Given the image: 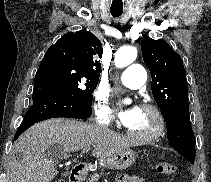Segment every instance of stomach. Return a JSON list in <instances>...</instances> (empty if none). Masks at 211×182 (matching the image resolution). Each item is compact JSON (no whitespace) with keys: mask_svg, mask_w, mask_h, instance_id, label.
Masks as SVG:
<instances>
[{"mask_svg":"<svg viewBox=\"0 0 211 182\" xmlns=\"http://www.w3.org/2000/svg\"><path fill=\"white\" fill-rule=\"evenodd\" d=\"M135 160L136 153L128 148L105 160V166L109 169L124 170L129 168Z\"/></svg>","mask_w":211,"mask_h":182,"instance_id":"obj_1","label":"stomach"}]
</instances>
